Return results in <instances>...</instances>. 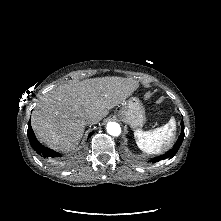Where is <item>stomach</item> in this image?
<instances>
[{
    "instance_id": "obj_1",
    "label": "stomach",
    "mask_w": 221,
    "mask_h": 221,
    "mask_svg": "<svg viewBox=\"0 0 221 221\" xmlns=\"http://www.w3.org/2000/svg\"><path fill=\"white\" fill-rule=\"evenodd\" d=\"M117 116L122 122L129 124L132 129L141 127L146 120L144 107L135 97L129 98L122 105Z\"/></svg>"
}]
</instances>
